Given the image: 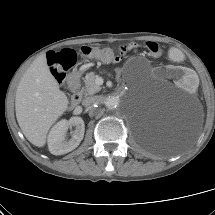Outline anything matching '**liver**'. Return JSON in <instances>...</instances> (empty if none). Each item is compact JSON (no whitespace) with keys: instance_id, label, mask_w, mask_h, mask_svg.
I'll list each match as a JSON object with an SVG mask.
<instances>
[{"instance_id":"1","label":"liver","mask_w":215,"mask_h":215,"mask_svg":"<svg viewBox=\"0 0 215 215\" xmlns=\"http://www.w3.org/2000/svg\"><path fill=\"white\" fill-rule=\"evenodd\" d=\"M68 104V97L49 70L46 55L39 56L23 74L16 90V118L27 140L43 147L49 129Z\"/></svg>"}]
</instances>
